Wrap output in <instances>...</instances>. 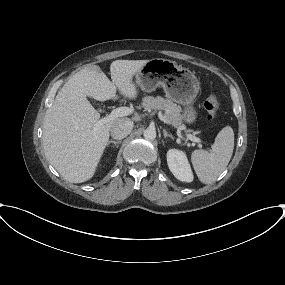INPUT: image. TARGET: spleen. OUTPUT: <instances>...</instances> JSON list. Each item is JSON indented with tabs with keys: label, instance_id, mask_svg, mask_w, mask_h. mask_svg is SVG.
<instances>
[{
	"label": "spleen",
	"instance_id": "1",
	"mask_svg": "<svg viewBox=\"0 0 285 285\" xmlns=\"http://www.w3.org/2000/svg\"><path fill=\"white\" fill-rule=\"evenodd\" d=\"M233 149L234 132L230 126H226L217 134L210 152L194 150L191 162L199 180L204 184L213 183L226 169Z\"/></svg>",
	"mask_w": 285,
	"mask_h": 285
}]
</instances>
